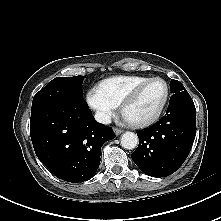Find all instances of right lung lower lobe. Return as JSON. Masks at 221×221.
Instances as JSON below:
<instances>
[{
	"mask_svg": "<svg viewBox=\"0 0 221 221\" xmlns=\"http://www.w3.org/2000/svg\"><path fill=\"white\" fill-rule=\"evenodd\" d=\"M30 136L39 160L59 179H91L100 164L102 145L115 138L99 124L84 99L54 102L31 111Z\"/></svg>",
	"mask_w": 221,
	"mask_h": 221,
	"instance_id": "1",
	"label": "right lung lower lobe"
}]
</instances>
